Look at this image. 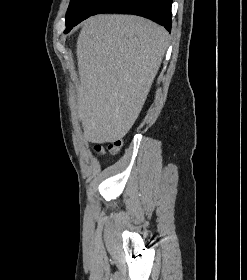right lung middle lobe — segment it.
Returning a JSON list of instances; mask_svg holds the SVG:
<instances>
[{
    "instance_id": "obj_1",
    "label": "right lung middle lobe",
    "mask_w": 247,
    "mask_h": 280,
    "mask_svg": "<svg viewBox=\"0 0 247 280\" xmlns=\"http://www.w3.org/2000/svg\"><path fill=\"white\" fill-rule=\"evenodd\" d=\"M106 0H71L66 13V28L73 27L93 15Z\"/></svg>"
}]
</instances>
